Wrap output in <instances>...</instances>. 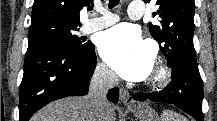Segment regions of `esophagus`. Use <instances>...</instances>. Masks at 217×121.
Returning <instances> with one entry per match:
<instances>
[{
    "mask_svg": "<svg viewBox=\"0 0 217 121\" xmlns=\"http://www.w3.org/2000/svg\"><path fill=\"white\" fill-rule=\"evenodd\" d=\"M120 100L125 106H134L135 102L125 88H120Z\"/></svg>",
    "mask_w": 217,
    "mask_h": 121,
    "instance_id": "1",
    "label": "esophagus"
}]
</instances>
